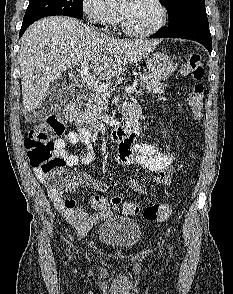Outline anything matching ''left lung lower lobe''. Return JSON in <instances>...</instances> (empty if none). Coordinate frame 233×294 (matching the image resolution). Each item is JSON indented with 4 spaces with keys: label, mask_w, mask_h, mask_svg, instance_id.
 <instances>
[{
    "label": "left lung lower lobe",
    "mask_w": 233,
    "mask_h": 294,
    "mask_svg": "<svg viewBox=\"0 0 233 294\" xmlns=\"http://www.w3.org/2000/svg\"><path fill=\"white\" fill-rule=\"evenodd\" d=\"M150 38H182L201 43L211 53L212 39L207 17L187 16L157 31Z\"/></svg>",
    "instance_id": "left-lung-lower-lobe-1"
}]
</instances>
